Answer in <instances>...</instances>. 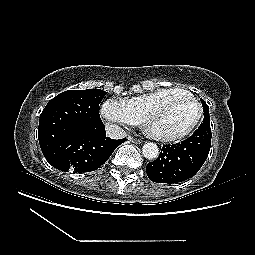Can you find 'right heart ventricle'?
Returning a JSON list of instances; mask_svg holds the SVG:
<instances>
[{
	"instance_id": "right-heart-ventricle-1",
	"label": "right heart ventricle",
	"mask_w": 255,
	"mask_h": 255,
	"mask_svg": "<svg viewBox=\"0 0 255 255\" xmlns=\"http://www.w3.org/2000/svg\"><path fill=\"white\" fill-rule=\"evenodd\" d=\"M183 89L171 87V88H159L148 93L132 97L125 100L126 104L129 106L130 110L137 117L139 122L143 121L146 113L155 107L160 101H162L167 96L179 92Z\"/></svg>"
}]
</instances>
